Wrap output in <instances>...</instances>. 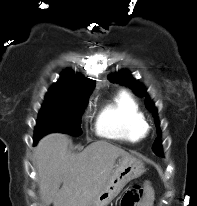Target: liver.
Listing matches in <instances>:
<instances>
[{
    "label": "liver",
    "mask_w": 197,
    "mask_h": 206,
    "mask_svg": "<svg viewBox=\"0 0 197 206\" xmlns=\"http://www.w3.org/2000/svg\"><path fill=\"white\" fill-rule=\"evenodd\" d=\"M68 144L66 135L52 133L35 149L41 199L47 205L88 206L113 173L115 161L128 153L97 141L74 154L68 151Z\"/></svg>",
    "instance_id": "liver-1"
}]
</instances>
